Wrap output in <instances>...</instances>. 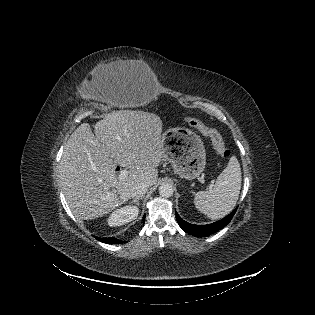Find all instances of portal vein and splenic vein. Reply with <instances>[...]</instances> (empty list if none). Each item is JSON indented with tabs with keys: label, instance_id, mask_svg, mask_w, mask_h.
Wrapping results in <instances>:
<instances>
[{
	"label": "portal vein and splenic vein",
	"instance_id": "1",
	"mask_svg": "<svg viewBox=\"0 0 315 315\" xmlns=\"http://www.w3.org/2000/svg\"><path fill=\"white\" fill-rule=\"evenodd\" d=\"M128 170L127 169H122L121 171H120V174H119V178L120 179H125L127 176H128Z\"/></svg>",
	"mask_w": 315,
	"mask_h": 315
}]
</instances>
